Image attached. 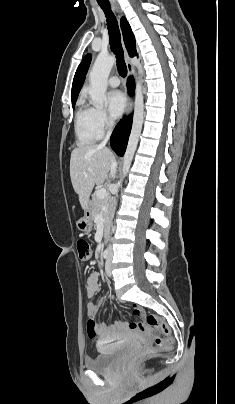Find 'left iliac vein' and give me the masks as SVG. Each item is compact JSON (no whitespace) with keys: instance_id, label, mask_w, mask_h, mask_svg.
<instances>
[{"instance_id":"obj_1","label":"left iliac vein","mask_w":235,"mask_h":404,"mask_svg":"<svg viewBox=\"0 0 235 404\" xmlns=\"http://www.w3.org/2000/svg\"><path fill=\"white\" fill-rule=\"evenodd\" d=\"M105 271H106V274L109 277L112 276V273H111V271H112V252H110L108 257H107V261H106V264H105Z\"/></svg>"}]
</instances>
